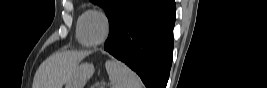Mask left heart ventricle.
Instances as JSON below:
<instances>
[{"instance_id": "obj_1", "label": "left heart ventricle", "mask_w": 267, "mask_h": 88, "mask_svg": "<svg viewBox=\"0 0 267 88\" xmlns=\"http://www.w3.org/2000/svg\"><path fill=\"white\" fill-rule=\"evenodd\" d=\"M84 34L89 42L100 40L104 34L103 21L97 16H89L85 21Z\"/></svg>"}]
</instances>
